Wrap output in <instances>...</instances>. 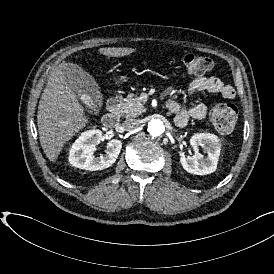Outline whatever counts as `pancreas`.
<instances>
[{
    "mask_svg": "<svg viewBox=\"0 0 274 274\" xmlns=\"http://www.w3.org/2000/svg\"><path fill=\"white\" fill-rule=\"evenodd\" d=\"M122 113L126 117H137L145 112L143 105L138 96L134 93H129L126 102L122 105Z\"/></svg>",
    "mask_w": 274,
    "mask_h": 274,
    "instance_id": "obj_1",
    "label": "pancreas"
}]
</instances>
